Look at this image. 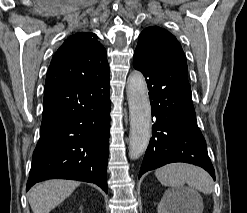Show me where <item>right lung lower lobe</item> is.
I'll return each instance as SVG.
<instances>
[{
  "instance_id": "right-lung-lower-lobe-1",
  "label": "right lung lower lobe",
  "mask_w": 247,
  "mask_h": 213,
  "mask_svg": "<svg viewBox=\"0 0 247 213\" xmlns=\"http://www.w3.org/2000/svg\"><path fill=\"white\" fill-rule=\"evenodd\" d=\"M109 74L44 95L40 138L26 190L47 179H72L108 191Z\"/></svg>"
}]
</instances>
